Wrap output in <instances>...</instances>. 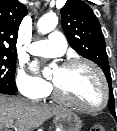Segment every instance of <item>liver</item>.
<instances>
[{"instance_id":"1","label":"liver","mask_w":117,"mask_h":131,"mask_svg":"<svg viewBox=\"0 0 117 131\" xmlns=\"http://www.w3.org/2000/svg\"><path fill=\"white\" fill-rule=\"evenodd\" d=\"M66 111L68 110L0 95V131L14 120L15 131H33L52 116Z\"/></svg>"}]
</instances>
